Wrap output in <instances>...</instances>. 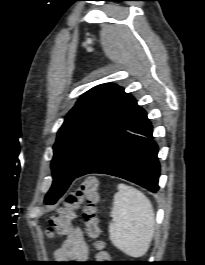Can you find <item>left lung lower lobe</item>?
Returning <instances> with one entry per match:
<instances>
[{
  "mask_svg": "<svg viewBox=\"0 0 205 265\" xmlns=\"http://www.w3.org/2000/svg\"><path fill=\"white\" fill-rule=\"evenodd\" d=\"M158 146L146 112L135 111L125 126L83 166L75 178L102 173L117 176L157 192L160 165Z\"/></svg>",
  "mask_w": 205,
  "mask_h": 265,
  "instance_id": "left-lung-lower-lobe-1",
  "label": "left lung lower lobe"
}]
</instances>
